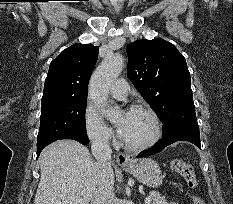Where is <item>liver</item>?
Masks as SVG:
<instances>
[{"mask_svg": "<svg viewBox=\"0 0 233 204\" xmlns=\"http://www.w3.org/2000/svg\"><path fill=\"white\" fill-rule=\"evenodd\" d=\"M39 162L34 204H89L101 170L85 146L69 139L56 141L41 152Z\"/></svg>", "mask_w": 233, "mask_h": 204, "instance_id": "1", "label": "liver"}]
</instances>
